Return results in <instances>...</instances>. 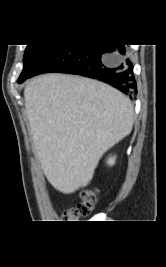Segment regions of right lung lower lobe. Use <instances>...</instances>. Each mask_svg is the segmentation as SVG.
<instances>
[{"label":"right lung lower lobe","instance_id":"1","mask_svg":"<svg viewBox=\"0 0 166 267\" xmlns=\"http://www.w3.org/2000/svg\"><path fill=\"white\" fill-rule=\"evenodd\" d=\"M48 72L98 79L133 97L137 84L125 45H54L28 78Z\"/></svg>","mask_w":166,"mask_h":267}]
</instances>
